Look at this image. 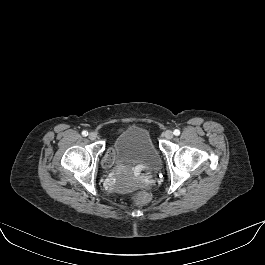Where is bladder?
Returning a JSON list of instances; mask_svg holds the SVG:
<instances>
[{"instance_id": "obj_1", "label": "bladder", "mask_w": 265, "mask_h": 265, "mask_svg": "<svg viewBox=\"0 0 265 265\" xmlns=\"http://www.w3.org/2000/svg\"><path fill=\"white\" fill-rule=\"evenodd\" d=\"M109 156L115 166L144 165L151 171L159 170L160 155L149 132L131 126L120 132L109 147Z\"/></svg>"}]
</instances>
